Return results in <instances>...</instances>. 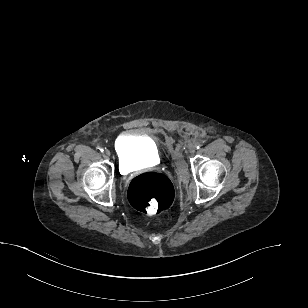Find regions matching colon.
<instances>
[{
    "label": "colon",
    "instance_id": "5ec220e1",
    "mask_svg": "<svg viewBox=\"0 0 308 308\" xmlns=\"http://www.w3.org/2000/svg\"><path fill=\"white\" fill-rule=\"evenodd\" d=\"M128 198L137 210L161 217L172 208L175 198L174 186L166 175L146 172L131 180Z\"/></svg>",
    "mask_w": 308,
    "mask_h": 308
}]
</instances>
